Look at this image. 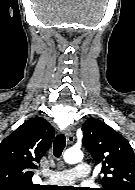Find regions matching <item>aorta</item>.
<instances>
[{
  "label": "aorta",
  "instance_id": "1",
  "mask_svg": "<svg viewBox=\"0 0 135 190\" xmlns=\"http://www.w3.org/2000/svg\"><path fill=\"white\" fill-rule=\"evenodd\" d=\"M63 158L65 162L74 164L82 161L83 153L80 150L68 149L64 152Z\"/></svg>",
  "mask_w": 135,
  "mask_h": 190
}]
</instances>
